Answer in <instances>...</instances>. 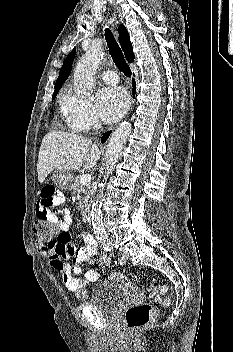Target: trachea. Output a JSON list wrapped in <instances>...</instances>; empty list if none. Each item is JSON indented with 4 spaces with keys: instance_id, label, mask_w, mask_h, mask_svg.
I'll list each match as a JSON object with an SVG mask.
<instances>
[{
    "instance_id": "3493384b",
    "label": "trachea",
    "mask_w": 233,
    "mask_h": 352,
    "mask_svg": "<svg viewBox=\"0 0 233 352\" xmlns=\"http://www.w3.org/2000/svg\"><path fill=\"white\" fill-rule=\"evenodd\" d=\"M105 39L111 54V57L113 59V62L115 65L118 67V69L124 73L125 76L130 77L131 76V70L128 67L122 51L114 38L112 32L107 28L105 29Z\"/></svg>"
}]
</instances>
